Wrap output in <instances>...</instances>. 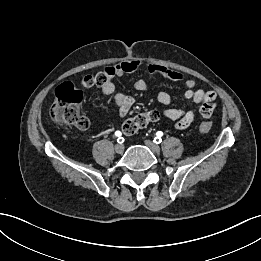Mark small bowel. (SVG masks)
I'll use <instances>...</instances> for the list:
<instances>
[{"label": "small bowel", "mask_w": 261, "mask_h": 261, "mask_svg": "<svg viewBox=\"0 0 261 261\" xmlns=\"http://www.w3.org/2000/svg\"><path fill=\"white\" fill-rule=\"evenodd\" d=\"M143 63L138 59H129L117 63L113 66L107 67L101 74L105 77V81L98 85L101 91L106 96H113L114 102L117 107L118 114L123 117L132 108L135 100L132 96L116 92L114 85V78L122 77L125 74L136 72L142 67ZM147 77L137 79L134 82V88L137 91H146L151 81L157 77L162 76L173 81H183L186 90L183 94L185 100H191L198 105L197 111L204 118H209L215 108L217 95L213 91H204L196 88V83L191 78H184L180 72L168 69L167 67L158 64H149L146 68ZM81 84L90 88L96 85L95 76H85ZM157 101L163 106H169L172 102L171 96L167 92H159L157 94ZM163 115L175 121V129L184 130L188 128L195 119V111L183 110L180 108L167 107L163 110Z\"/></svg>", "instance_id": "small-bowel-1"}]
</instances>
